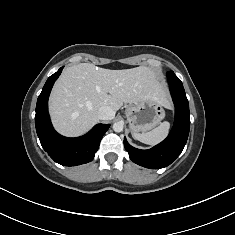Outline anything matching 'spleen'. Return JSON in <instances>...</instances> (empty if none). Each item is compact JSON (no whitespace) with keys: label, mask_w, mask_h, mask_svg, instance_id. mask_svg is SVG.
<instances>
[{"label":"spleen","mask_w":235,"mask_h":235,"mask_svg":"<svg viewBox=\"0 0 235 235\" xmlns=\"http://www.w3.org/2000/svg\"><path fill=\"white\" fill-rule=\"evenodd\" d=\"M170 129V123L167 121L162 122L158 127L153 130L142 133V134H133V137L139 140L142 143L148 145H156L162 140L165 139Z\"/></svg>","instance_id":"3e777b00"}]
</instances>
